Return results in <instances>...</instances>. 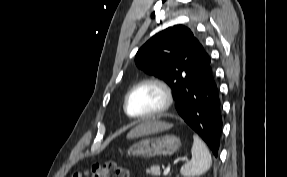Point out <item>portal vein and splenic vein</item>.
<instances>
[{
    "instance_id": "portal-vein-and-splenic-vein-1",
    "label": "portal vein and splenic vein",
    "mask_w": 287,
    "mask_h": 177,
    "mask_svg": "<svg viewBox=\"0 0 287 177\" xmlns=\"http://www.w3.org/2000/svg\"><path fill=\"white\" fill-rule=\"evenodd\" d=\"M183 160L185 161V160H187V159H183ZM170 169H171V167H170V166H167V167L164 169L163 175H164V176H167V175L169 174V172H170Z\"/></svg>"
}]
</instances>
